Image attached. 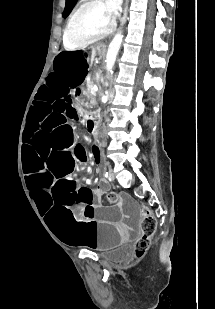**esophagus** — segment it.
<instances>
[{
    "mask_svg": "<svg viewBox=\"0 0 215 309\" xmlns=\"http://www.w3.org/2000/svg\"><path fill=\"white\" fill-rule=\"evenodd\" d=\"M127 10H128V0H126L125 2V6H124V13H123V18H122V24H124V21L126 20L127 17ZM100 46H105L104 44H100Z\"/></svg>",
    "mask_w": 215,
    "mask_h": 309,
    "instance_id": "esophagus-1",
    "label": "esophagus"
}]
</instances>
